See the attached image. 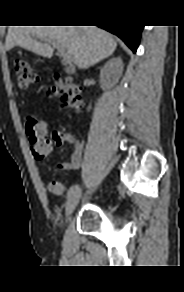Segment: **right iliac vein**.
<instances>
[{
    "label": "right iliac vein",
    "mask_w": 184,
    "mask_h": 292,
    "mask_svg": "<svg viewBox=\"0 0 184 292\" xmlns=\"http://www.w3.org/2000/svg\"><path fill=\"white\" fill-rule=\"evenodd\" d=\"M81 198V192L77 191L76 193H74L73 195H71L67 202H66V209H65V214L66 216H69L73 213V211L75 210L79 200Z\"/></svg>",
    "instance_id": "1"
}]
</instances>
